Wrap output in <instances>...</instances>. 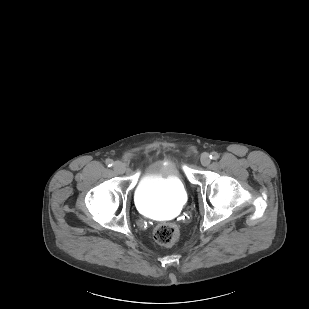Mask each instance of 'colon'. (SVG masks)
<instances>
[{"mask_svg": "<svg viewBox=\"0 0 309 309\" xmlns=\"http://www.w3.org/2000/svg\"><path fill=\"white\" fill-rule=\"evenodd\" d=\"M155 241L163 246H171L179 238V230L173 223L159 224L153 233Z\"/></svg>", "mask_w": 309, "mask_h": 309, "instance_id": "5ec220e1", "label": "colon"}]
</instances>
